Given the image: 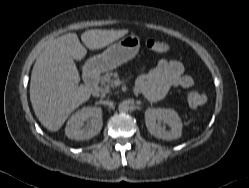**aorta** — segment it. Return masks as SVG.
<instances>
[{"mask_svg": "<svg viewBox=\"0 0 249 188\" xmlns=\"http://www.w3.org/2000/svg\"><path fill=\"white\" fill-rule=\"evenodd\" d=\"M118 110L122 113L128 112L129 105L126 102H121L118 106Z\"/></svg>", "mask_w": 249, "mask_h": 188, "instance_id": "762f6f07", "label": "aorta"}]
</instances>
